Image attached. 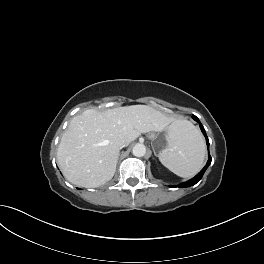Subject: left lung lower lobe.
Masks as SVG:
<instances>
[{"label": "left lung lower lobe", "mask_w": 264, "mask_h": 264, "mask_svg": "<svg viewBox=\"0 0 264 264\" xmlns=\"http://www.w3.org/2000/svg\"><path fill=\"white\" fill-rule=\"evenodd\" d=\"M192 118L200 124V128H201L202 133L204 134V136L206 138V143H207L208 148H209V140H208V137L206 135V132H205V129H204L203 125L201 124V122L199 121V119L196 116H193ZM210 163H211V157L209 155L208 162L205 165V167L201 170L200 173H198L194 178L190 179L189 181L183 182V183H181V184H179L177 186H174V187H181V188H183V187H190V186L195 185L197 182H199L201 180L204 172L206 171V169L208 168V166L210 165Z\"/></svg>", "instance_id": "1"}]
</instances>
